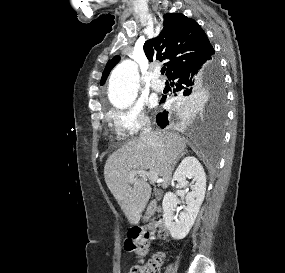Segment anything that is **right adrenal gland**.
Listing matches in <instances>:
<instances>
[{
  "label": "right adrenal gland",
  "mask_w": 285,
  "mask_h": 273,
  "mask_svg": "<svg viewBox=\"0 0 285 273\" xmlns=\"http://www.w3.org/2000/svg\"><path fill=\"white\" fill-rule=\"evenodd\" d=\"M187 152H188V151L183 152L180 157L184 156ZM180 157H179V158H180ZM177 160H178V159H177Z\"/></svg>",
  "instance_id": "1"
}]
</instances>
